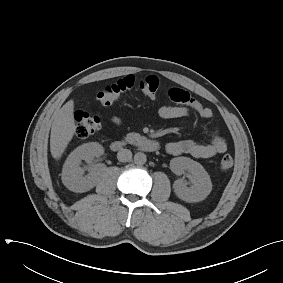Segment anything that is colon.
Returning <instances> with one entry per match:
<instances>
[{
  "label": "colon",
  "mask_w": 283,
  "mask_h": 283,
  "mask_svg": "<svg viewBox=\"0 0 283 283\" xmlns=\"http://www.w3.org/2000/svg\"><path fill=\"white\" fill-rule=\"evenodd\" d=\"M133 88H139L144 94L154 96L159 88V80L156 76L150 75L137 81L134 76H126L117 82L106 86L98 93V98L103 105L113 104L119 96ZM102 127V119L84 111L75 113V132L79 138H87L97 133ZM233 166V158L226 154L219 163L222 171H228Z\"/></svg>",
  "instance_id": "1"
}]
</instances>
